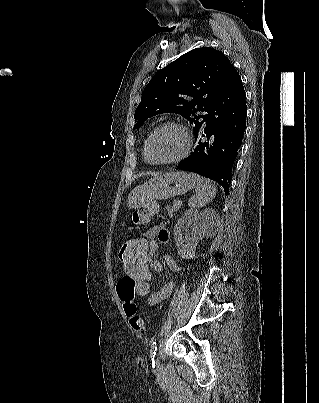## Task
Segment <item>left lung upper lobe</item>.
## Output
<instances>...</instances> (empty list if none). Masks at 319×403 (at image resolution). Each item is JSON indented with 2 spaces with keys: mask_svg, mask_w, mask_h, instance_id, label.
<instances>
[{
  "mask_svg": "<svg viewBox=\"0 0 319 403\" xmlns=\"http://www.w3.org/2000/svg\"><path fill=\"white\" fill-rule=\"evenodd\" d=\"M230 60L210 47L193 49L157 72L142 92L135 110L138 128L148 118L161 113H177L202 126L217 92L225 82Z\"/></svg>",
  "mask_w": 319,
  "mask_h": 403,
  "instance_id": "obj_1",
  "label": "left lung upper lobe"
}]
</instances>
